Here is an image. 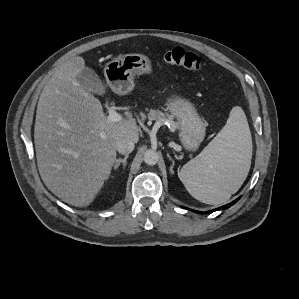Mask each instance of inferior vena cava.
I'll use <instances>...</instances> for the list:
<instances>
[{
  "label": "inferior vena cava",
  "instance_id": "inferior-vena-cava-1",
  "mask_svg": "<svg viewBox=\"0 0 299 299\" xmlns=\"http://www.w3.org/2000/svg\"><path fill=\"white\" fill-rule=\"evenodd\" d=\"M134 150V142L131 140L123 139L117 144V151L120 154L128 155Z\"/></svg>",
  "mask_w": 299,
  "mask_h": 299
}]
</instances>
